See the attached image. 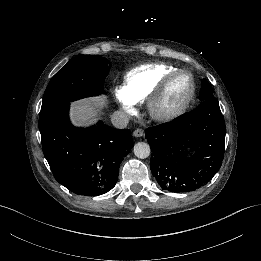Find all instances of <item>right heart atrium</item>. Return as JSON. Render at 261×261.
<instances>
[{"label":"right heart atrium","mask_w":261,"mask_h":261,"mask_svg":"<svg viewBox=\"0 0 261 261\" xmlns=\"http://www.w3.org/2000/svg\"><path fill=\"white\" fill-rule=\"evenodd\" d=\"M115 97L120 104L121 109L128 118H133L137 115L138 110L136 108L135 102L127 95V93L123 89H116Z\"/></svg>","instance_id":"obj_1"}]
</instances>
